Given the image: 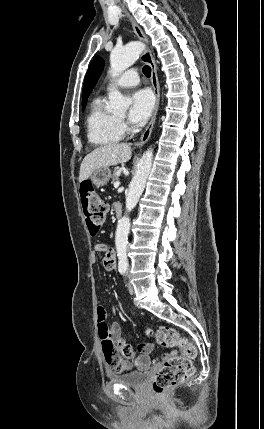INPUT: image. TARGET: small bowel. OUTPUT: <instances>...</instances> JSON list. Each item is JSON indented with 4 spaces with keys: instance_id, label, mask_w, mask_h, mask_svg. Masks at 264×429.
Here are the masks:
<instances>
[{
    "instance_id": "small-bowel-1",
    "label": "small bowel",
    "mask_w": 264,
    "mask_h": 429,
    "mask_svg": "<svg viewBox=\"0 0 264 429\" xmlns=\"http://www.w3.org/2000/svg\"><path fill=\"white\" fill-rule=\"evenodd\" d=\"M99 252H104L102 263L105 270H113L115 267V253L113 249L109 248L106 244L98 243L94 246L93 249L94 257ZM101 311L105 314V318L102 321L99 319ZM97 312L99 321L98 334L102 341V347L106 340L118 342L121 339V329L119 324L117 322H113L111 324H108L106 322V311L104 307L99 306ZM113 313H116L115 308H113ZM138 350L140 354L132 362L127 359H122L117 364V366H115L116 370H118L119 372H127L132 369L144 370L148 368L151 362L150 354L153 351V345L149 343L140 344L138 346ZM163 357H167V354H165Z\"/></svg>"
}]
</instances>
